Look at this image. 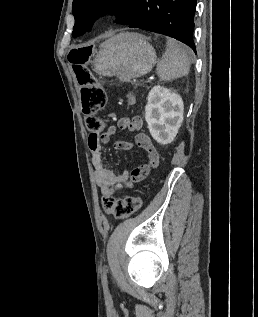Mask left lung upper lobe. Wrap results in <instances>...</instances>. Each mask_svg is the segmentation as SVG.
<instances>
[{
	"mask_svg": "<svg viewBox=\"0 0 258 317\" xmlns=\"http://www.w3.org/2000/svg\"><path fill=\"white\" fill-rule=\"evenodd\" d=\"M140 0H74L72 12L75 17L72 36L90 31L93 22L107 13L117 16V23L127 25Z\"/></svg>",
	"mask_w": 258,
	"mask_h": 317,
	"instance_id": "obj_1",
	"label": "left lung upper lobe"
}]
</instances>
